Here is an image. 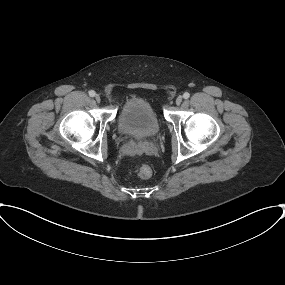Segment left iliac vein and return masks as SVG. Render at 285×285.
<instances>
[{"label": "left iliac vein", "mask_w": 285, "mask_h": 285, "mask_svg": "<svg viewBox=\"0 0 285 285\" xmlns=\"http://www.w3.org/2000/svg\"><path fill=\"white\" fill-rule=\"evenodd\" d=\"M182 100H183V97L182 96H178L177 98H176V104L177 105H180L181 103H182Z\"/></svg>", "instance_id": "4c4485c4"}]
</instances>
